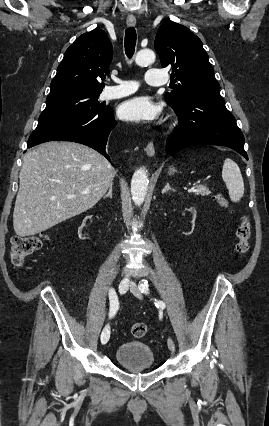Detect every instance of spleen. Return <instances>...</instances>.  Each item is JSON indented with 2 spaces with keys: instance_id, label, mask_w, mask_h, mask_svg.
Wrapping results in <instances>:
<instances>
[{
  "instance_id": "obj_1",
  "label": "spleen",
  "mask_w": 269,
  "mask_h": 426,
  "mask_svg": "<svg viewBox=\"0 0 269 426\" xmlns=\"http://www.w3.org/2000/svg\"><path fill=\"white\" fill-rule=\"evenodd\" d=\"M222 179L229 191L231 201L239 202L244 195L243 177L237 163L230 158L224 161Z\"/></svg>"
}]
</instances>
